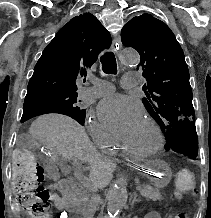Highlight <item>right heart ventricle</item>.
I'll list each match as a JSON object with an SVG mask.
<instances>
[{"mask_svg":"<svg viewBox=\"0 0 211 218\" xmlns=\"http://www.w3.org/2000/svg\"><path fill=\"white\" fill-rule=\"evenodd\" d=\"M103 148H104L105 152L114 154L117 152V143L115 141H113L111 144H109Z\"/></svg>","mask_w":211,"mask_h":218,"instance_id":"right-heart-ventricle-1","label":"right heart ventricle"}]
</instances>
